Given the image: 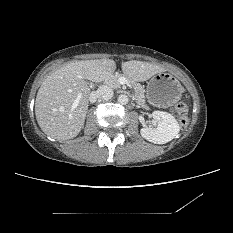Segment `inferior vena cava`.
I'll list each match as a JSON object with an SVG mask.
<instances>
[{
	"label": "inferior vena cava",
	"mask_w": 233,
	"mask_h": 233,
	"mask_svg": "<svg viewBox=\"0 0 233 233\" xmlns=\"http://www.w3.org/2000/svg\"><path fill=\"white\" fill-rule=\"evenodd\" d=\"M113 97V90L107 85L100 86L96 92L90 96V101L95 102L96 99L109 100Z\"/></svg>",
	"instance_id": "obj_1"
}]
</instances>
